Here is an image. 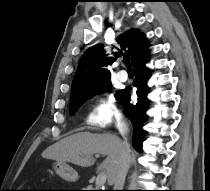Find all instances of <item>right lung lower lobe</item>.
<instances>
[{
  "label": "right lung lower lobe",
  "instance_id": "obj_1",
  "mask_svg": "<svg viewBox=\"0 0 210 191\" xmlns=\"http://www.w3.org/2000/svg\"><path fill=\"white\" fill-rule=\"evenodd\" d=\"M146 47L140 52L133 63L135 79L133 85L137 87L138 102L136 104L130 103L129 92L131 88L127 86L125 89L121 90L117 99H119L125 109V114L131 120L134 127L133 135V146L137 151H140L142 143L144 141V130L142 129L145 122V113L148 109V102L146 95L149 92L147 87V81L149 79V70L145 67L148 62Z\"/></svg>",
  "mask_w": 210,
  "mask_h": 191
}]
</instances>
